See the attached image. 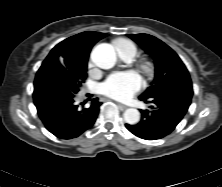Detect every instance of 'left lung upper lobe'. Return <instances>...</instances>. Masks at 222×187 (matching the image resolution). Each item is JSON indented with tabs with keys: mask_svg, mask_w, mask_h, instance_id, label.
Instances as JSON below:
<instances>
[{
	"mask_svg": "<svg viewBox=\"0 0 222 187\" xmlns=\"http://www.w3.org/2000/svg\"><path fill=\"white\" fill-rule=\"evenodd\" d=\"M153 58L155 76L151 86L140 96L151 99L165 90H172V97L179 95L180 87L192 85L189 72L179 56L164 42L148 34H130Z\"/></svg>",
	"mask_w": 222,
	"mask_h": 187,
	"instance_id": "5c2ea615",
	"label": "left lung upper lobe"
}]
</instances>
